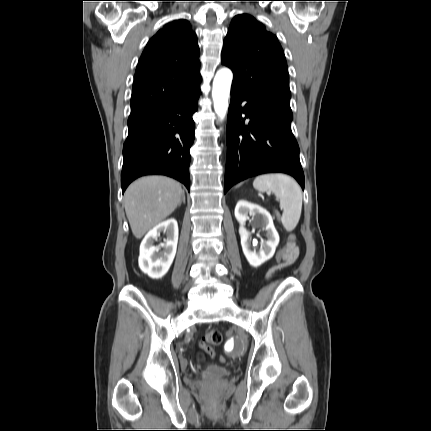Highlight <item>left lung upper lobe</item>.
<instances>
[{"label": "left lung upper lobe", "mask_w": 431, "mask_h": 431, "mask_svg": "<svg viewBox=\"0 0 431 431\" xmlns=\"http://www.w3.org/2000/svg\"><path fill=\"white\" fill-rule=\"evenodd\" d=\"M221 57L234 73L233 85L292 113L284 52L277 37L261 23L246 14L234 17Z\"/></svg>", "instance_id": "5c2ea615"}]
</instances>
